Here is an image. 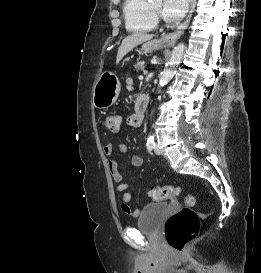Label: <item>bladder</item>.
<instances>
[{"mask_svg":"<svg viewBox=\"0 0 261 273\" xmlns=\"http://www.w3.org/2000/svg\"><path fill=\"white\" fill-rule=\"evenodd\" d=\"M169 207L170 206L167 203H152L145 205L137 220L138 228L146 234H157L168 214Z\"/></svg>","mask_w":261,"mask_h":273,"instance_id":"bladder-1","label":"bladder"}]
</instances>
